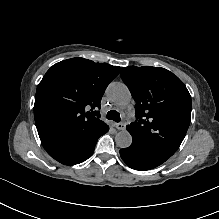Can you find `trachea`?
<instances>
[{
    "instance_id": "trachea-1",
    "label": "trachea",
    "mask_w": 219,
    "mask_h": 219,
    "mask_svg": "<svg viewBox=\"0 0 219 219\" xmlns=\"http://www.w3.org/2000/svg\"><path fill=\"white\" fill-rule=\"evenodd\" d=\"M106 118L109 119V120H113L115 122H120L121 121L120 114L115 110H110L106 114Z\"/></svg>"
}]
</instances>
